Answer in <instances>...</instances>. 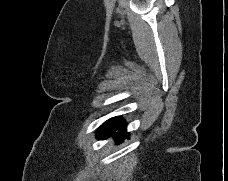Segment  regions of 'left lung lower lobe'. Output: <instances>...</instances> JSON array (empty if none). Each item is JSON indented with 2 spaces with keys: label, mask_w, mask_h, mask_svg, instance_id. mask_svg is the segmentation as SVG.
I'll list each match as a JSON object with an SVG mask.
<instances>
[{
  "label": "left lung lower lobe",
  "mask_w": 228,
  "mask_h": 181,
  "mask_svg": "<svg viewBox=\"0 0 228 181\" xmlns=\"http://www.w3.org/2000/svg\"><path fill=\"white\" fill-rule=\"evenodd\" d=\"M126 133L125 122L122 120L119 124L109 127V128H99L97 131L98 139H106L110 136L116 137L117 140L121 138H126V136H121V134Z\"/></svg>",
  "instance_id": "left-lung-lower-lobe-1"
}]
</instances>
